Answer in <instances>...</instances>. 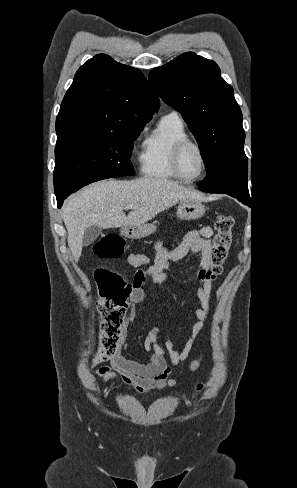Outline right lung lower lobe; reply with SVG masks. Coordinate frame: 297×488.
Instances as JSON below:
<instances>
[{"instance_id":"obj_1","label":"right lung lower lobe","mask_w":297,"mask_h":488,"mask_svg":"<svg viewBox=\"0 0 297 488\" xmlns=\"http://www.w3.org/2000/svg\"><path fill=\"white\" fill-rule=\"evenodd\" d=\"M66 197H67V196L62 197V198H57L58 208H60V207L62 206L63 201H64V199H65Z\"/></svg>"}]
</instances>
